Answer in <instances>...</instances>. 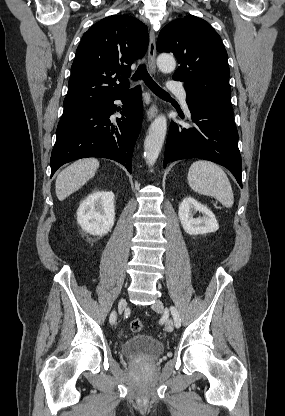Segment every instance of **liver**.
I'll return each instance as SVG.
<instances>
[{"mask_svg":"<svg viewBox=\"0 0 285 416\" xmlns=\"http://www.w3.org/2000/svg\"><path fill=\"white\" fill-rule=\"evenodd\" d=\"M99 168L98 160L95 158H84V160H77L65 170H62L57 176L55 184V192L58 200L62 202L73 192H77L88 180L95 176Z\"/></svg>","mask_w":285,"mask_h":416,"instance_id":"obj_1","label":"liver"}]
</instances>
